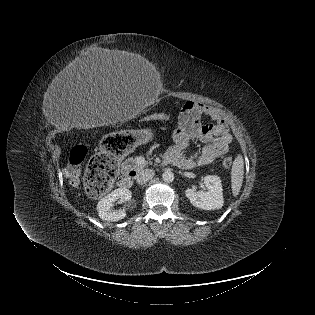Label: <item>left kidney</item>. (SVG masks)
Masks as SVG:
<instances>
[{"instance_id":"left-kidney-1","label":"left kidney","mask_w":315,"mask_h":315,"mask_svg":"<svg viewBox=\"0 0 315 315\" xmlns=\"http://www.w3.org/2000/svg\"><path fill=\"white\" fill-rule=\"evenodd\" d=\"M204 184L207 191L196 192L193 189H186V197L193 206L203 210H214L222 208L224 204L223 189L218 176L208 175L204 177Z\"/></svg>"}]
</instances>
